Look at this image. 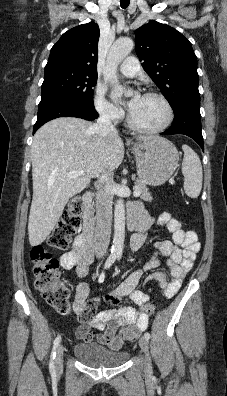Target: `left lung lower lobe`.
Masks as SVG:
<instances>
[{
	"label": "left lung lower lobe",
	"instance_id": "obj_1",
	"mask_svg": "<svg viewBox=\"0 0 227 396\" xmlns=\"http://www.w3.org/2000/svg\"><path fill=\"white\" fill-rule=\"evenodd\" d=\"M172 126L161 134H184L194 139L204 150L201 132L200 97H186L173 107Z\"/></svg>",
	"mask_w": 227,
	"mask_h": 396
}]
</instances>
